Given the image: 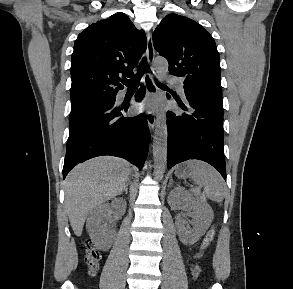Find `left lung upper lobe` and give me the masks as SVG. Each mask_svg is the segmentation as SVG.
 I'll return each instance as SVG.
<instances>
[{
  "instance_id": "5c2ea615",
  "label": "left lung upper lobe",
  "mask_w": 293,
  "mask_h": 289,
  "mask_svg": "<svg viewBox=\"0 0 293 289\" xmlns=\"http://www.w3.org/2000/svg\"><path fill=\"white\" fill-rule=\"evenodd\" d=\"M153 45L167 59L170 73L182 77L184 86L222 95L219 53L200 24L169 14L155 29Z\"/></svg>"
}]
</instances>
